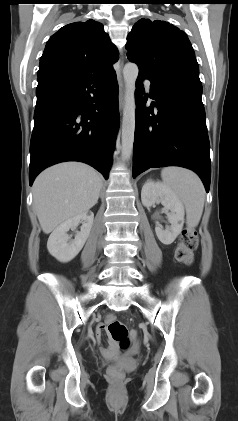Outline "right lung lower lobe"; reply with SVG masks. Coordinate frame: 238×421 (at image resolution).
<instances>
[{"instance_id":"98d812e1","label":"right lung lower lobe","mask_w":238,"mask_h":421,"mask_svg":"<svg viewBox=\"0 0 238 421\" xmlns=\"http://www.w3.org/2000/svg\"><path fill=\"white\" fill-rule=\"evenodd\" d=\"M29 183L45 168L85 162L107 179L119 127L114 69L90 75L38 78Z\"/></svg>"}]
</instances>
